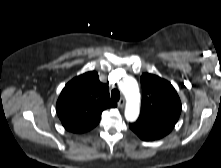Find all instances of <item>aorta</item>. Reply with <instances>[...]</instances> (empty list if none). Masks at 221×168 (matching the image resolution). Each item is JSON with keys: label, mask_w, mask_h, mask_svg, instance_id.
Listing matches in <instances>:
<instances>
[{"label": "aorta", "mask_w": 221, "mask_h": 168, "mask_svg": "<svg viewBox=\"0 0 221 168\" xmlns=\"http://www.w3.org/2000/svg\"><path fill=\"white\" fill-rule=\"evenodd\" d=\"M121 90L126 98L125 118L127 121L133 122L139 116L140 111V94L137 81L128 77L121 84Z\"/></svg>", "instance_id": "762f6f07"}]
</instances>
